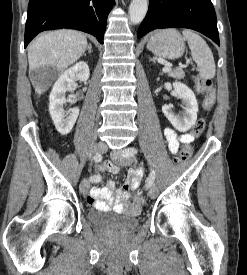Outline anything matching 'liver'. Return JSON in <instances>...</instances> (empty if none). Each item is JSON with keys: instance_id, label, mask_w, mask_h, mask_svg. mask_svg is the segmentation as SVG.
Listing matches in <instances>:
<instances>
[{"instance_id": "6515ba94", "label": "liver", "mask_w": 247, "mask_h": 275, "mask_svg": "<svg viewBox=\"0 0 247 275\" xmlns=\"http://www.w3.org/2000/svg\"><path fill=\"white\" fill-rule=\"evenodd\" d=\"M86 37L74 30H56L43 33L28 48L29 73L41 67H53L58 72L76 62L87 49ZM48 85H35L41 95Z\"/></svg>"}]
</instances>
